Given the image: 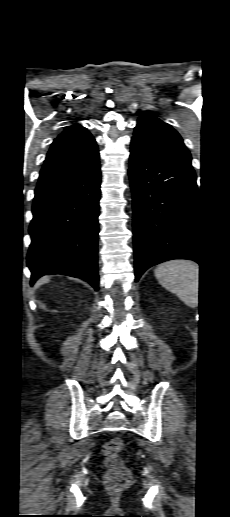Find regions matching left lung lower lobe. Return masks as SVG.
<instances>
[{
    "label": "left lung lower lobe",
    "instance_id": "1",
    "mask_svg": "<svg viewBox=\"0 0 230 517\" xmlns=\"http://www.w3.org/2000/svg\"><path fill=\"white\" fill-rule=\"evenodd\" d=\"M135 281L151 266L172 259L202 265L198 246V189L191 164L131 146Z\"/></svg>",
    "mask_w": 230,
    "mask_h": 517
}]
</instances>
